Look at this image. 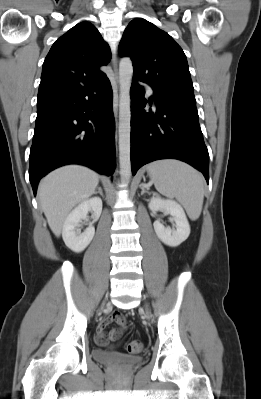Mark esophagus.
Wrapping results in <instances>:
<instances>
[{
    "instance_id": "34e87169",
    "label": "esophagus",
    "mask_w": 261,
    "mask_h": 399,
    "mask_svg": "<svg viewBox=\"0 0 261 399\" xmlns=\"http://www.w3.org/2000/svg\"><path fill=\"white\" fill-rule=\"evenodd\" d=\"M112 68H113V80L118 85L119 78H118V69H117V57L115 52L112 55Z\"/></svg>"
}]
</instances>
